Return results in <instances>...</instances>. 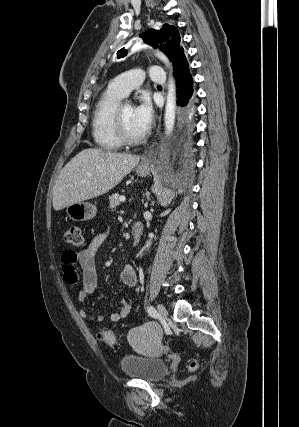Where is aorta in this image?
I'll return each mask as SVG.
<instances>
[{
  "mask_svg": "<svg viewBox=\"0 0 299 427\" xmlns=\"http://www.w3.org/2000/svg\"><path fill=\"white\" fill-rule=\"evenodd\" d=\"M155 56L160 59L162 62H164L168 67L171 66L168 58L159 50L155 51ZM175 108H176V86L175 81L172 76H170L168 88H167V101H166V107H165V114H164V126H165V133L167 136H169L173 129L175 124ZM153 238V234H149V239L146 242L145 249H149L151 246V240Z\"/></svg>",
  "mask_w": 299,
  "mask_h": 427,
  "instance_id": "aorta-1",
  "label": "aorta"
}]
</instances>
